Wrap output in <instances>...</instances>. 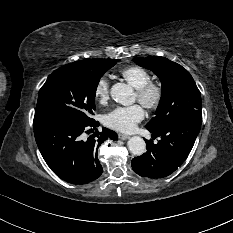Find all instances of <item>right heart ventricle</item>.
Segmentation results:
<instances>
[{"label":"right heart ventricle","instance_id":"e07e8e85","mask_svg":"<svg viewBox=\"0 0 233 233\" xmlns=\"http://www.w3.org/2000/svg\"><path fill=\"white\" fill-rule=\"evenodd\" d=\"M120 74L135 89H140L151 80L150 73L140 66L126 67Z\"/></svg>","mask_w":233,"mask_h":233}]
</instances>
